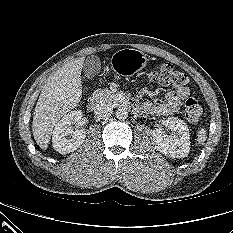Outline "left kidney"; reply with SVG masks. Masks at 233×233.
I'll use <instances>...</instances> for the list:
<instances>
[{
	"mask_svg": "<svg viewBox=\"0 0 233 233\" xmlns=\"http://www.w3.org/2000/svg\"><path fill=\"white\" fill-rule=\"evenodd\" d=\"M165 126L174 133L167 135L161 126L153 130L152 136L156 148L165 156L184 158L190 151V135L187 124L176 117H169Z\"/></svg>",
	"mask_w": 233,
	"mask_h": 233,
	"instance_id": "1",
	"label": "left kidney"
}]
</instances>
